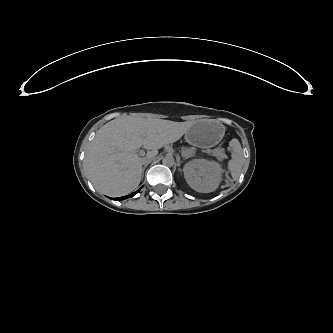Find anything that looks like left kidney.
<instances>
[{"label":"left kidney","mask_w":333,"mask_h":333,"mask_svg":"<svg viewBox=\"0 0 333 333\" xmlns=\"http://www.w3.org/2000/svg\"><path fill=\"white\" fill-rule=\"evenodd\" d=\"M187 184L197 192L215 191L222 181V166L214 160L193 159L183 167Z\"/></svg>","instance_id":"1"}]
</instances>
